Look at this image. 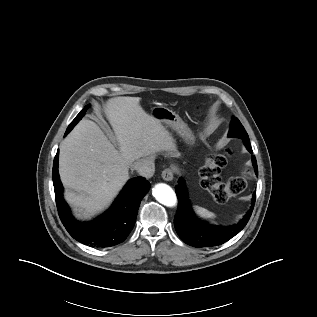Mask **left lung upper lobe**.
<instances>
[{
    "instance_id": "obj_1",
    "label": "left lung upper lobe",
    "mask_w": 317,
    "mask_h": 317,
    "mask_svg": "<svg viewBox=\"0 0 317 317\" xmlns=\"http://www.w3.org/2000/svg\"><path fill=\"white\" fill-rule=\"evenodd\" d=\"M228 136L239 137L243 139L244 143H250L246 130L237 118H234L231 122Z\"/></svg>"
}]
</instances>
